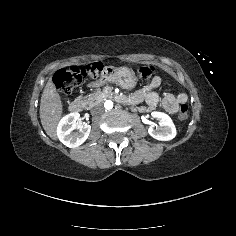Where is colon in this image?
Listing matches in <instances>:
<instances>
[{"instance_id":"1","label":"colon","mask_w":236,"mask_h":236,"mask_svg":"<svg viewBox=\"0 0 236 236\" xmlns=\"http://www.w3.org/2000/svg\"><path fill=\"white\" fill-rule=\"evenodd\" d=\"M102 72L100 63H93L83 67H70L62 69L55 73L54 83L62 97H67L72 91L83 81V79H97ZM154 68L151 65H143L138 67L137 75L142 80L151 79ZM178 117L180 120H186L188 117V107L186 104L180 105L178 109Z\"/></svg>"}]
</instances>
